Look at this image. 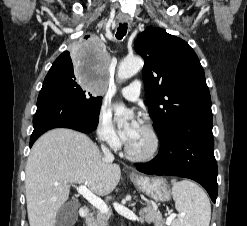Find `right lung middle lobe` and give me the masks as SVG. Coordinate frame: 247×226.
Instances as JSON below:
<instances>
[{
	"label": "right lung middle lobe",
	"mask_w": 247,
	"mask_h": 226,
	"mask_svg": "<svg viewBox=\"0 0 247 226\" xmlns=\"http://www.w3.org/2000/svg\"><path fill=\"white\" fill-rule=\"evenodd\" d=\"M74 62H76V60H74ZM74 62L72 63L69 54L66 60H62L50 68L43 84L57 86L88 109L99 112L102 97L96 96L89 92L88 89H81V86H78V78H75V70L72 69Z\"/></svg>",
	"instance_id": "obj_1"
}]
</instances>
